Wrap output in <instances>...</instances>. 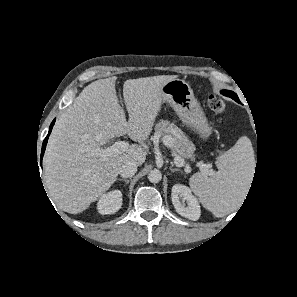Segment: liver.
Masks as SVG:
<instances>
[{
    "mask_svg": "<svg viewBox=\"0 0 297 297\" xmlns=\"http://www.w3.org/2000/svg\"><path fill=\"white\" fill-rule=\"evenodd\" d=\"M116 79H100L85 87L59 117L49 137L44 157L45 184L50 198L67 213H81L101 198L126 161H134L137 166L145 161L147 152L138 144L105 161L92 150L125 134L145 142L161 110V88L175 76L126 80L123 97L128 121L117 97Z\"/></svg>",
    "mask_w": 297,
    "mask_h": 297,
    "instance_id": "liver-1",
    "label": "liver"
}]
</instances>
